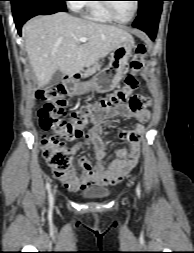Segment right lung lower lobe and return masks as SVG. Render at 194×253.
I'll return each instance as SVG.
<instances>
[{
	"mask_svg": "<svg viewBox=\"0 0 194 253\" xmlns=\"http://www.w3.org/2000/svg\"><path fill=\"white\" fill-rule=\"evenodd\" d=\"M12 11L14 22L20 34L22 25L31 17L67 11V9L66 5L55 0H37L21 2Z\"/></svg>",
	"mask_w": 194,
	"mask_h": 253,
	"instance_id": "right-lung-lower-lobe-1",
	"label": "right lung lower lobe"
}]
</instances>
